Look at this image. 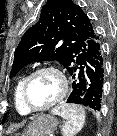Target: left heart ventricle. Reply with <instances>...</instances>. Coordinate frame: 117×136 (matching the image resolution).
I'll list each match as a JSON object with an SVG mask.
<instances>
[{"instance_id": "1", "label": "left heart ventricle", "mask_w": 117, "mask_h": 136, "mask_svg": "<svg viewBox=\"0 0 117 136\" xmlns=\"http://www.w3.org/2000/svg\"><path fill=\"white\" fill-rule=\"evenodd\" d=\"M61 83L52 73H41L33 78L28 89V99L32 106L43 107L52 102L60 93Z\"/></svg>"}]
</instances>
